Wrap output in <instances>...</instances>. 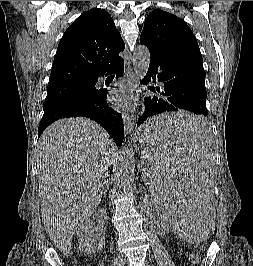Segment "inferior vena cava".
Masks as SVG:
<instances>
[{"label":"inferior vena cava","instance_id":"inferior-vena-cava-1","mask_svg":"<svg viewBox=\"0 0 253 266\" xmlns=\"http://www.w3.org/2000/svg\"><path fill=\"white\" fill-rule=\"evenodd\" d=\"M117 259H118V260H122L123 257L119 255Z\"/></svg>","mask_w":253,"mask_h":266}]
</instances>
